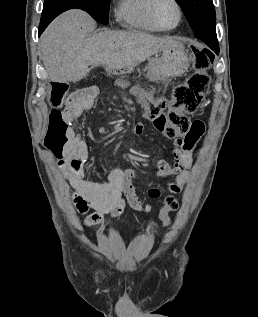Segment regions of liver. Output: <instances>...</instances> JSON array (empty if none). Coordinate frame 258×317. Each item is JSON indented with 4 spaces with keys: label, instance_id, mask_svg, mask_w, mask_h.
I'll use <instances>...</instances> for the list:
<instances>
[{
    "label": "liver",
    "instance_id": "6515ba94",
    "mask_svg": "<svg viewBox=\"0 0 258 317\" xmlns=\"http://www.w3.org/2000/svg\"><path fill=\"white\" fill-rule=\"evenodd\" d=\"M96 22L90 14L73 8L47 26L40 50L51 80H81L92 66L105 64L112 70L132 68L152 54L179 46L176 36H154L142 30H101L92 34Z\"/></svg>",
    "mask_w": 258,
    "mask_h": 317
}]
</instances>
